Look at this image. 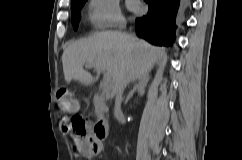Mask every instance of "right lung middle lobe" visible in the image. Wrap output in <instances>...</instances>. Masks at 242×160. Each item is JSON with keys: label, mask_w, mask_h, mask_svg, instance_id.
Returning <instances> with one entry per match:
<instances>
[{"label": "right lung middle lobe", "mask_w": 242, "mask_h": 160, "mask_svg": "<svg viewBox=\"0 0 242 160\" xmlns=\"http://www.w3.org/2000/svg\"><path fill=\"white\" fill-rule=\"evenodd\" d=\"M86 1L87 0L72 1L71 12H72V23H73L74 29H77L78 27V22L80 20V11Z\"/></svg>", "instance_id": "dd1d6c3e"}]
</instances>
